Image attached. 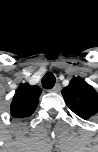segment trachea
Masks as SVG:
<instances>
[{"label": "trachea", "mask_w": 98, "mask_h": 152, "mask_svg": "<svg viewBox=\"0 0 98 152\" xmlns=\"http://www.w3.org/2000/svg\"><path fill=\"white\" fill-rule=\"evenodd\" d=\"M55 81L56 79H55L54 74L49 72L45 74L44 77L42 78V86L45 89H51L55 85Z\"/></svg>", "instance_id": "trachea-1"}]
</instances>
